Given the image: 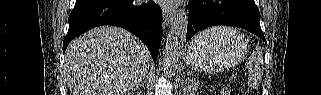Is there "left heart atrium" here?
Masks as SVG:
<instances>
[{
    "label": "left heart atrium",
    "mask_w": 321,
    "mask_h": 95,
    "mask_svg": "<svg viewBox=\"0 0 321 95\" xmlns=\"http://www.w3.org/2000/svg\"><path fill=\"white\" fill-rule=\"evenodd\" d=\"M162 2L165 3V4L172 5V4L175 3L176 1H175V0H164V1H162Z\"/></svg>",
    "instance_id": "1"
}]
</instances>
